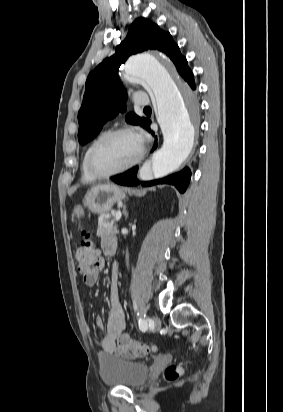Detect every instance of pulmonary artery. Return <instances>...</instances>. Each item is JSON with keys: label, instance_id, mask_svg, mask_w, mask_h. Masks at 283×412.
Returning <instances> with one entry per match:
<instances>
[{"label": "pulmonary artery", "instance_id": "e3ab8cb5", "mask_svg": "<svg viewBox=\"0 0 283 412\" xmlns=\"http://www.w3.org/2000/svg\"><path fill=\"white\" fill-rule=\"evenodd\" d=\"M134 102L138 106H148L149 98L142 92H137L134 94Z\"/></svg>", "mask_w": 283, "mask_h": 412}]
</instances>
